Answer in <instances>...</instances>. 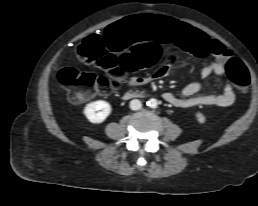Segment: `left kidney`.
Masks as SVG:
<instances>
[{
  "label": "left kidney",
  "instance_id": "obj_1",
  "mask_svg": "<svg viewBox=\"0 0 258 206\" xmlns=\"http://www.w3.org/2000/svg\"><path fill=\"white\" fill-rule=\"evenodd\" d=\"M195 117L200 124H203L206 121V117L201 112H197Z\"/></svg>",
  "mask_w": 258,
  "mask_h": 206
}]
</instances>
